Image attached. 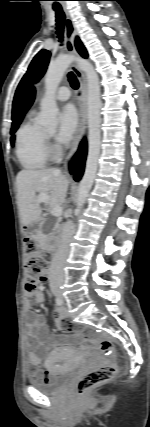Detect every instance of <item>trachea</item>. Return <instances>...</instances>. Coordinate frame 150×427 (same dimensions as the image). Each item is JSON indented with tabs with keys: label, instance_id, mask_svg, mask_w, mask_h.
Instances as JSON below:
<instances>
[{
	"label": "trachea",
	"instance_id": "1",
	"mask_svg": "<svg viewBox=\"0 0 150 427\" xmlns=\"http://www.w3.org/2000/svg\"><path fill=\"white\" fill-rule=\"evenodd\" d=\"M53 9L56 12V33L58 35L59 41L63 42L65 14L60 4L55 3L53 5ZM68 80L73 89H77L79 87L78 80L73 72H69Z\"/></svg>",
	"mask_w": 150,
	"mask_h": 427
}]
</instances>
